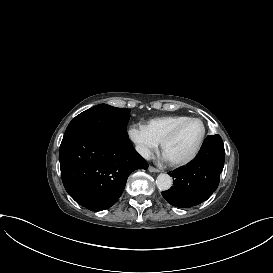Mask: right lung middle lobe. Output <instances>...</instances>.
I'll return each mask as SVG.
<instances>
[{
	"instance_id": "1",
	"label": "right lung middle lobe",
	"mask_w": 273,
	"mask_h": 273,
	"mask_svg": "<svg viewBox=\"0 0 273 273\" xmlns=\"http://www.w3.org/2000/svg\"><path fill=\"white\" fill-rule=\"evenodd\" d=\"M129 118V109L99 104L77 115L69 123L64 137L92 134L103 138L128 140L126 127Z\"/></svg>"
}]
</instances>
